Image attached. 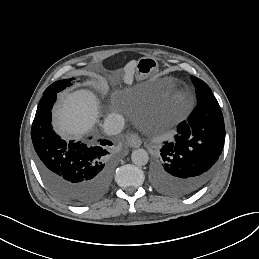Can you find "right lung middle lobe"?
Listing matches in <instances>:
<instances>
[{
	"instance_id": "1",
	"label": "right lung middle lobe",
	"mask_w": 259,
	"mask_h": 259,
	"mask_svg": "<svg viewBox=\"0 0 259 259\" xmlns=\"http://www.w3.org/2000/svg\"><path fill=\"white\" fill-rule=\"evenodd\" d=\"M72 80H74V78L54 82L43 92V95L54 94L62 91L66 87H69L72 85L71 83Z\"/></svg>"
}]
</instances>
